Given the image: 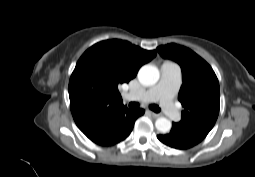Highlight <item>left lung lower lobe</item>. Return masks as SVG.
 I'll return each instance as SVG.
<instances>
[{"mask_svg":"<svg viewBox=\"0 0 255 177\" xmlns=\"http://www.w3.org/2000/svg\"><path fill=\"white\" fill-rule=\"evenodd\" d=\"M157 138L167 146L176 149L191 148L204 139L203 137L186 131L176 123H172V129L168 134L158 135Z\"/></svg>","mask_w":255,"mask_h":177,"instance_id":"0a47b994","label":"left lung lower lobe"}]
</instances>
